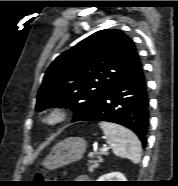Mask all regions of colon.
Returning <instances> with one entry per match:
<instances>
[{"instance_id": "colon-1", "label": "colon", "mask_w": 178, "mask_h": 186, "mask_svg": "<svg viewBox=\"0 0 178 186\" xmlns=\"http://www.w3.org/2000/svg\"><path fill=\"white\" fill-rule=\"evenodd\" d=\"M41 177H42V175H41V174H39V175H38V178H41Z\"/></svg>"}]
</instances>
